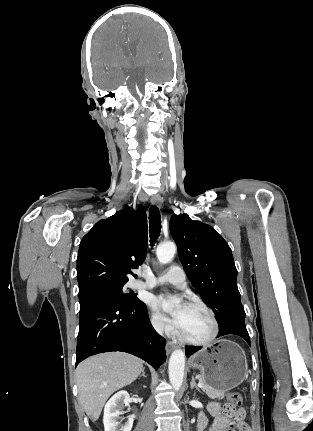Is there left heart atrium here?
Segmentation results:
<instances>
[{"label": "left heart atrium", "mask_w": 313, "mask_h": 431, "mask_svg": "<svg viewBox=\"0 0 313 431\" xmlns=\"http://www.w3.org/2000/svg\"><path fill=\"white\" fill-rule=\"evenodd\" d=\"M152 308L157 311V312H161V313H166L167 312V307H168V299L164 296H158L155 297L152 300ZM170 321L177 327L180 328L181 326V316L179 313H175L172 318L170 319Z\"/></svg>", "instance_id": "left-heart-atrium-1"}]
</instances>
